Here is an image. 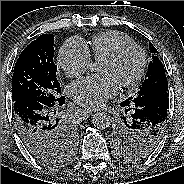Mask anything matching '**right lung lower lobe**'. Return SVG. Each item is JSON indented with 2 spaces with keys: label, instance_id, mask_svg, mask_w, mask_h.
<instances>
[{
  "label": "right lung lower lobe",
  "instance_id": "obj_1",
  "mask_svg": "<svg viewBox=\"0 0 184 184\" xmlns=\"http://www.w3.org/2000/svg\"><path fill=\"white\" fill-rule=\"evenodd\" d=\"M65 97L60 94L51 102L22 99L13 102L17 131L29 151L43 148L57 137V130L67 125L60 113Z\"/></svg>",
  "mask_w": 184,
  "mask_h": 184
}]
</instances>
